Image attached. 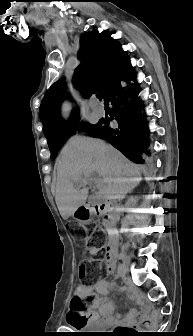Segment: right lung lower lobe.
Here are the masks:
<instances>
[{
  "label": "right lung lower lobe",
  "instance_id": "1",
  "mask_svg": "<svg viewBox=\"0 0 193 336\" xmlns=\"http://www.w3.org/2000/svg\"><path fill=\"white\" fill-rule=\"evenodd\" d=\"M135 78L134 70L129 63L121 72L105 95V103L113 106V117L101 120V125L91 136L101 138L111 143L120 150L128 159L135 163H143L145 155L150 156L148 150V127L144 123L141 100L128 101V95L124 92L121 81H129ZM132 88L131 95L137 93V85H129ZM135 104V106H133ZM116 120L118 126L110 128L109 122Z\"/></svg>",
  "mask_w": 193,
  "mask_h": 336
}]
</instances>
